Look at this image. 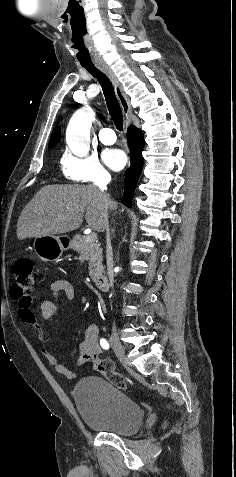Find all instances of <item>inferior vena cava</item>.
I'll use <instances>...</instances> for the list:
<instances>
[{
	"instance_id": "obj_1",
	"label": "inferior vena cava",
	"mask_w": 236,
	"mask_h": 477,
	"mask_svg": "<svg viewBox=\"0 0 236 477\" xmlns=\"http://www.w3.org/2000/svg\"><path fill=\"white\" fill-rule=\"evenodd\" d=\"M109 179H103L96 183L99 191L101 192L102 199H103V230H106V243H107V252H106V259H107V273L110 282V286H113V254H112V246L110 240V231H109V222H108V206H109V196L105 193L107 189V183Z\"/></svg>"
}]
</instances>
